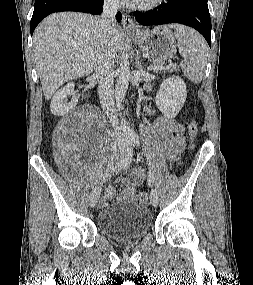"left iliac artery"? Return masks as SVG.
<instances>
[{"mask_svg": "<svg viewBox=\"0 0 253 285\" xmlns=\"http://www.w3.org/2000/svg\"><path fill=\"white\" fill-rule=\"evenodd\" d=\"M129 139H130L136 146H139L140 140H139V136H138L136 133H131L130 136H129ZM147 182H148V186H149V187H152V186H153V183H154V176H153V174H152L151 172H149V174H148Z\"/></svg>", "mask_w": 253, "mask_h": 285, "instance_id": "1", "label": "left iliac artery"}]
</instances>
